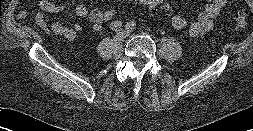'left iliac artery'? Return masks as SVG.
<instances>
[{
	"label": "left iliac artery",
	"instance_id": "1",
	"mask_svg": "<svg viewBox=\"0 0 253 131\" xmlns=\"http://www.w3.org/2000/svg\"><path fill=\"white\" fill-rule=\"evenodd\" d=\"M135 27H136V24L134 22H132V21L129 22V23H127V25H126V29L128 31H133L135 29Z\"/></svg>",
	"mask_w": 253,
	"mask_h": 131
}]
</instances>
